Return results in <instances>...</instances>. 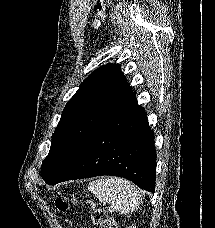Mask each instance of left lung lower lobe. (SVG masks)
<instances>
[{"label": "left lung lower lobe", "instance_id": "left-lung-lower-lobe-1", "mask_svg": "<svg viewBox=\"0 0 215 228\" xmlns=\"http://www.w3.org/2000/svg\"><path fill=\"white\" fill-rule=\"evenodd\" d=\"M154 132L136 93L88 139L57 177L47 184L112 175L126 178L154 193L156 178Z\"/></svg>", "mask_w": 215, "mask_h": 228}]
</instances>
